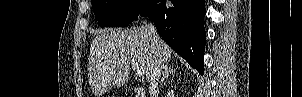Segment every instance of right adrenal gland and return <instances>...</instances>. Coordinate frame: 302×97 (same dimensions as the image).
<instances>
[{
    "mask_svg": "<svg viewBox=\"0 0 302 97\" xmlns=\"http://www.w3.org/2000/svg\"><path fill=\"white\" fill-rule=\"evenodd\" d=\"M175 72H176V69L171 68V66L167 63L166 66H165V71L163 73V77H162V79L160 81V86L162 87L165 79L169 75L174 74Z\"/></svg>",
    "mask_w": 302,
    "mask_h": 97,
    "instance_id": "2a0ac1e0",
    "label": "right adrenal gland"
}]
</instances>
